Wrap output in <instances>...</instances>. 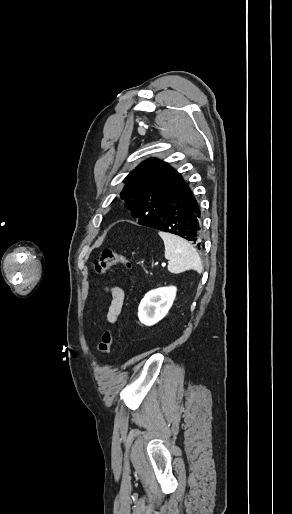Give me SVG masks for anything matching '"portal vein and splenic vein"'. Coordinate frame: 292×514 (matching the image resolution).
<instances>
[{
  "mask_svg": "<svg viewBox=\"0 0 292 514\" xmlns=\"http://www.w3.org/2000/svg\"><path fill=\"white\" fill-rule=\"evenodd\" d=\"M161 266H163V268H164V266H166V264H161Z\"/></svg>",
  "mask_w": 292,
  "mask_h": 514,
  "instance_id": "portal-vein-and-splenic-vein-1",
  "label": "portal vein and splenic vein"
}]
</instances>
